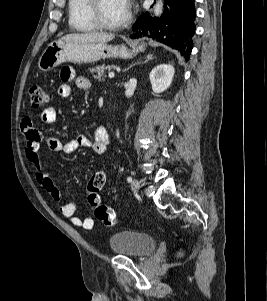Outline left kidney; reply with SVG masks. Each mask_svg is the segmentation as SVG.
I'll use <instances>...</instances> for the list:
<instances>
[{"label":"left kidney","instance_id":"left-kidney-1","mask_svg":"<svg viewBox=\"0 0 267 301\" xmlns=\"http://www.w3.org/2000/svg\"><path fill=\"white\" fill-rule=\"evenodd\" d=\"M174 67L170 64H160L149 74L152 90L154 93H162L167 90L174 77Z\"/></svg>","mask_w":267,"mask_h":301}]
</instances>
